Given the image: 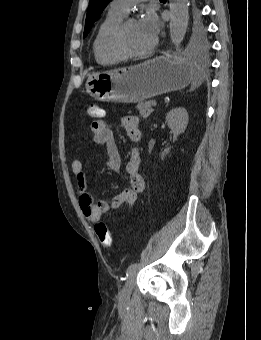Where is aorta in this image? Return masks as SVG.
Segmentation results:
<instances>
[{
  "instance_id": "obj_1",
  "label": "aorta",
  "mask_w": 261,
  "mask_h": 340,
  "mask_svg": "<svg viewBox=\"0 0 261 340\" xmlns=\"http://www.w3.org/2000/svg\"><path fill=\"white\" fill-rule=\"evenodd\" d=\"M169 6L170 38L174 45H179L184 39L188 26V0H171Z\"/></svg>"
}]
</instances>
